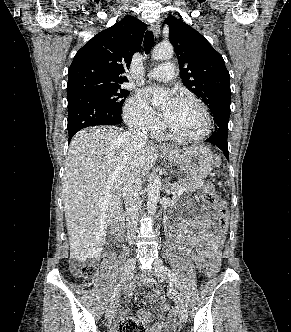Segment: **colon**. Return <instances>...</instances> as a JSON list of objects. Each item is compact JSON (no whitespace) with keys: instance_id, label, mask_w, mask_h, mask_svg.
I'll use <instances>...</instances> for the list:
<instances>
[{"instance_id":"1","label":"colon","mask_w":291,"mask_h":332,"mask_svg":"<svg viewBox=\"0 0 291 332\" xmlns=\"http://www.w3.org/2000/svg\"><path fill=\"white\" fill-rule=\"evenodd\" d=\"M204 200L213 208L216 213L217 223L220 228L225 229L228 225V210L225 203L215 190L212 182H207L202 190ZM220 268V260L213 259L207 263L206 270L209 276H214ZM74 272L83 278L85 285H90L95 276V266L92 263L84 265H73ZM117 332H143V325L134 318H125L117 326Z\"/></svg>"}]
</instances>
